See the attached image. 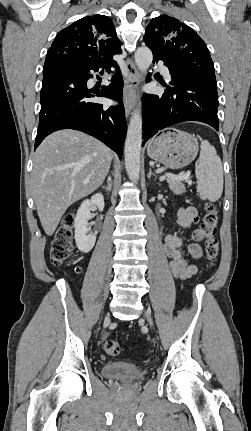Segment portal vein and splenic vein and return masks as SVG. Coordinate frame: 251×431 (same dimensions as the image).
<instances>
[{"instance_id": "portal-vein-and-splenic-vein-1", "label": "portal vein and splenic vein", "mask_w": 251, "mask_h": 431, "mask_svg": "<svg viewBox=\"0 0 251 431\" xmlns=\"http://www.w3.org/2000/svg\"><path fill=\"white\" fill-rule=\"evenodd\" d=\"M166 176L168 177V178H171V179H176V180H186V179H188L189 178V176H190V172L188 171L187 173H185V174H182V175H174V174H171V173H167L166 174ZM84 183H88V181H84Z\"/></svg>"}]
</instances>
